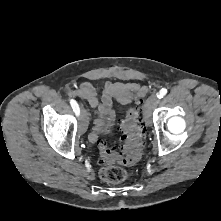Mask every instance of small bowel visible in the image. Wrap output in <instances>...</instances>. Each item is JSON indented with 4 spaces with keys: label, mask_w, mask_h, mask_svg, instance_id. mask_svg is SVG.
Segmentation results:
<instances>
[{
    "label": "small bowel",
    "mask_w": 221,
    "mask_h": 221,
    "mask_svg": "<svg viewBox=\"0 0 221 221\" xmlns=\"http://www.w3.org/2000/svg\"><path fill=\"white\" fill-rule=\"evenodd\" d=\"M145 88L133 82H105L100 96L96 88L90 82H82L68 93L88 101L95 114L94 127L89 135L92 143L97 142L101 134L107 133L113 125L112 100L127 103L141 97Z\"/></svg>",
    "instance_id": "small-bowel-1"
}]
</instances>
